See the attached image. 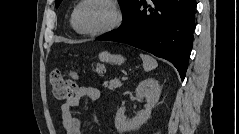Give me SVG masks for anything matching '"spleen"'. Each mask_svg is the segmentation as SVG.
Instances as JSON below:
<instances>
[{"label":"spleen","instance_id":"obj_1","mask_svg":"<svg viewBox=\"0 0 239 134\" xmlns=\"http://www.w3.org/2000/svg\"><path fill=\"white\" fill-rule=\"evenodd\" d=\"M140 57L143 61V67L146 72H149L158 66L157 61L153 57L147 54H140Z\"/></svg>","mask_w":239,"mask_h":134}]
</instances>
